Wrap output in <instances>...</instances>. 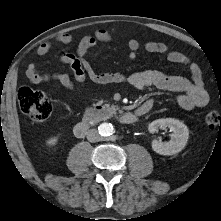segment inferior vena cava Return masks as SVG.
<instances>
[{"mask_svg": "<svg viewBox=\"0 0 221 221\" xmlns=\"http://www.w3.org/2000/svg\"><path fill=\"white\" fill-rule=\"evenodd\" d=\"M87 139L90 142H98L100 141V135L96 129H90L87 132Z\"/></svg>", "mask_w": 221, "mask_h": 221, "instance_id": "obj_1", "label": "inferior vena cava"}]
</instances>
